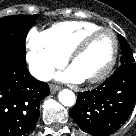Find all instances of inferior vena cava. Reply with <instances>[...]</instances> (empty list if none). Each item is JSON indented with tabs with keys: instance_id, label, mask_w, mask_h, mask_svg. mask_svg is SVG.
<instances>
[{
	"instance_id": "602c4592",
	"label": "inferior vena cava",
	"mask_w": 136,
	"mask_h": 136,
	"mask_svg": "<svg viewBox=\"0 0 136 136\" xmlns=\"http://www.w3.org/2000/svg\"><path fill=\"white\" fill-rule=\"evenodd\" d=\"M29 71L32 76L41 81H47L51 79L53 75V69L40 67V66H30Z\"/></svg>"
}]
</instances>
